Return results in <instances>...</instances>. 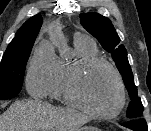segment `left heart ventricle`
I'll return each instance as SVG.
<instances>
[{"mask_svg":"<svg viewBox=\"0 0 151 131\" xmlns=\"http://www.w3.org/2000/svg\"><path fill=\"white\" fill-rule=\"evenodd\" d=\"M81 93L89 106L101 113L112 112L119 101L117 82L111 71L103 65L94 67L85 76Z\"/></svg>","mask_w":151,"mask_h":131,"instance_id":"1","label":"left heart ventricle"}]
</instances>
